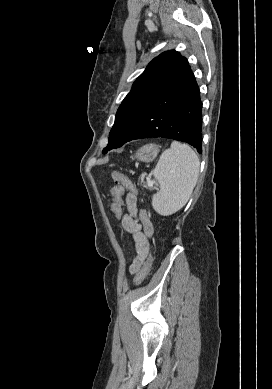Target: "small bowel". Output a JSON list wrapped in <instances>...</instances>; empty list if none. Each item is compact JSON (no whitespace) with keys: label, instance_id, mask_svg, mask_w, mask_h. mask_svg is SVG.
Segmentation results:
<instances>
[{"label":"small bowel","instance_id":"1","mask_svg":"<svg viewBox=\"0 0 272 389\" xmlns=\"http://www.w3.org/2000/svg\"><path fill=\"white\" fill-rule=\"evenodd\" d=\"M126 211L121 217L122 227L128 232L134 242L136 256L130 266L132 274L137 273L149 253V238L153 234V226L144 210L138 207L137 196L128 193L125 197Z\"/></svg>","mask_w":272,"mask_h":389}]
</instances>
